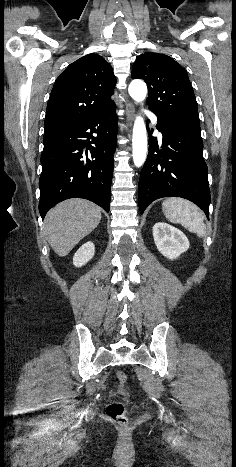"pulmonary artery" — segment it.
Segmentation results:
<instances>
[{"mask_svg":"<svg viewBox=\"0 0 236 467\" xmlns=\"http://www.w3.org/2000/svg\"><path fill=\"white\" fill-rule=\"evenodd\" d=\"M146 114L152 119V121L157 122V117H156V115H154V114H152V113H149V112H146Z\"/></svg>","mask_w":236,"mask_h":467,"instance_id":"pulmonary-artery-1","label":"pulmonary artery"}]
</instances>
